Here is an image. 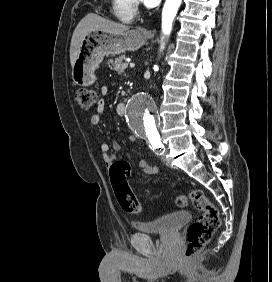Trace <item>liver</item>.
<instances>
[{
    "instance_id": "1",
    "label": "liver",
    "mask_w": 272,
    "mask_h": 282,
    "mask_svg": "<svg viewBox=\"0 0 272 282\" xmlns=\"http://www.w3.org/2000/svg\"><path fill=\"white\" fill-rule=\"evenodd\" d=\"M130 29L129 26L117 23L94 13L86 15L75 28L70 45V63L73 67L80 49L82 40L92 31H103L110 33H123Z\"/></svg>"
}]
</instances>
